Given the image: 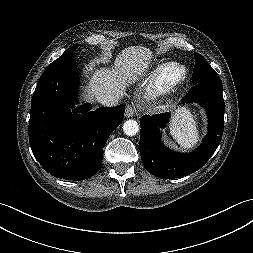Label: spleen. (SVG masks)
Masks as SVG:
<instances>
[{
	"label": "spleen",
	"mask_w": 253,
	"mask_h": 253,
	"mask_svg": "<svg viewBox=\"0 0 253 253\" xmlns=\"http://www.w3.org/2000/svg\"><path fill=\"white\" fill-rule=\"evenodd\" d=\"M170 134L184 149H191L197 144L199 131L190 112L183 111L174 118L170 126Z\"/></svg>",
	"instance_id": "obj_1"
}]
</instances>
